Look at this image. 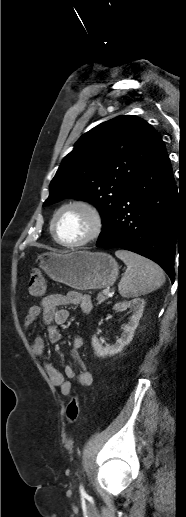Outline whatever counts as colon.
<instances>
[{"label": "colon", "mask_w": 186, "mask_h": 517, "mask_svg": "<svg viewBox=\"0 0 186 517\" xmlns=\"http://www.w3.org/2000/svg\"><path fill=\"white\" fill-rule=\"evenodd\" d=\"M46 288V281L42 272L38 269H34L29 278L28 291L33 297H40L44 294ZM80 413V400L77 395H74L68 403L66 416L70 423L77 420Z\"/></svg>", "instance_id": "5ec220e1"}]
</instances>
